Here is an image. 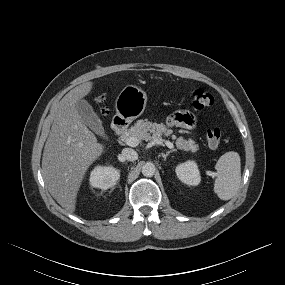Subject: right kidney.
Listing matches in <instances>:
<instances>
[{
  "label": "right kidney",
  "mask_w": 285,
  "mask_h": 285,
  "mask_svg": "<svg viewBox=\"0 0 285 285\" xmlns=\"http://www.w3.org/2000/svg\"><path fill=\"white\" fill-rule=\"evenodd\" d=\"M120 178V171L112 166H97L90 174V186L107 190L113 187Z\"/></svg>",
  "instance_id": "right-kidney-1"
}]
</instances>
